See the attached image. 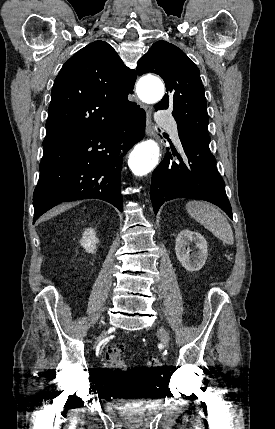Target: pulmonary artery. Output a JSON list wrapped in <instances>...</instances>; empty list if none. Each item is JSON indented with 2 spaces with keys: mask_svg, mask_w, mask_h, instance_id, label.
I'll return each mask as SVG.
<instances>
[{
  "mask_svg": "<svg viewBox=\"0 0 275 429\" xmlns=\"http://www.w3.org/2000/svg\"><path fill=\"white\" fill-rule=\"evenodd\" d=\"M157 122L162 126L169 129L171 136L173 137L176 144L180 145L177 125L174 120L167 114L159 113L157 115Z\"/></svg>",
  "mask_w": 275,
  "mask_h": 429,
  "instance_id": "pulmonary-artery-1",
  "label": "pulmonary artery"
}]
</instances>
